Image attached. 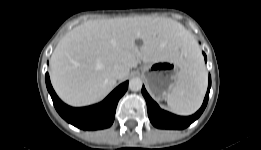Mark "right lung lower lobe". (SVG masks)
Instances as JSON below:
<instances>
[{"label":"right lung lower lobe","mask_w":261,"mask_h":150,"mask_svg":"<svg viewBox=\"0 0 261 150\" xmlns=\"http://www.w3.org/2000/svg\"><path fill=\"white\" fill-rule=\"evenodd\" d=\"M45 80L57 112L67 122L83 130H97L110 127L114 121L118 101L128 88V81H126L119 85L101 103L89 107L73 108L64 104L58 98L52 88L48 73H46Z\"/></svg>","instance_id":"98d812e1"}]
</instances>
